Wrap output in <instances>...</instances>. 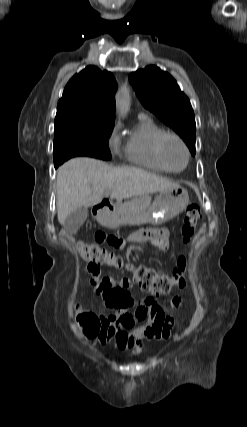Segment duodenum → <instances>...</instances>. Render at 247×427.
<instances>
[{
  "instance_id": "1",
  "label": "duodenum",
  "mask_w": 247,
  "mask_h": 427,
  "mask_svg": "<svg viewBox=\"0 0 247 427\" xmlns=\"http://www.w3.org/2000/svg\"><path fill=\"white\" fill-rule=\"evenodd\" d=\"M112 209V206L107 201H101L95 206V213L97 216H103Z\"/></svg>"
}]
</instances>
